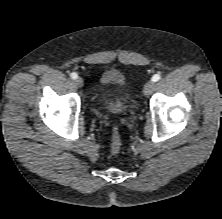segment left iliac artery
<instances>
[{"label": "left iliac artery", "mask_w": 222, "mask_h": 219, "mask_svg": "<svg viewBox=\"0 0 222 219\" xmlns=\"http://www.w3.org/2000/svg\"><path fill=\"white\" fill-rule=\"evenodd\" d=\"M160 78H161V76L159 75V74H155V75H153V77H152V81L153 82H156V81H158V80H160Z\"/></svg>", "instance_id": "1"}]
</instances>
